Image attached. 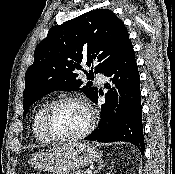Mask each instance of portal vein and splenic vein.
<instances>
[{
	"label": "portal vein and splenic vein",
	"mask_w": 175,
	"mask_h": 174,
	"mask_svg": "<svg viewBox=\"0 0 175 174\" xmlns=\"http://www.w3.org/2000/svg\"><path fill=\"white\" fill-rule=\"evenodd\" d=\"M86 174H92V171L91 170H87Z\"/></svg>",
	"instance_id": "18ae733b"
}]
</instances>
